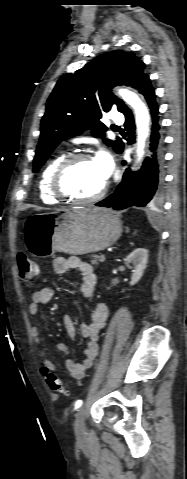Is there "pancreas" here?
Returning a JSON list of instances; mask_svg holds the SVG:
<instances>
[{
    "label": "pancreas",
    "instance_id": "1",
    "mask_svg": "<svg viewBox=\"0 0 187 479\" xmlns=\"http://www.w3.org/2000/svg\"><path fill=\"white\" fill-rule=\"evenodd\" d=\"M92 258L93 259H92L91 263L93 265H98L100 262L104 261V259H102L101 256H99V255H92Z\"/></svg>",
    "mask_w": 187,
    "mask_h": 479
}]
</instances>
